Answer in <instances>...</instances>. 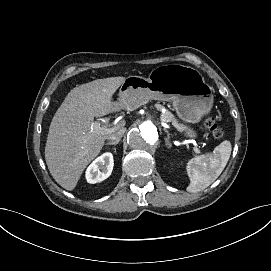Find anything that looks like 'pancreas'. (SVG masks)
I'll list each match as a JSON object with an SVG mask.
<instances>
[{"label":"pancreas","mask_w":271,"mask_h":271,"mask_svg":"<svg viewBox=\"0 0 271 271\" xmlns=\"http://www.w3.org/2000/svg\"><path fill=\"white\" fill-rule=\"evenodd\" d=\"M161 119L167 123L171 122L172 121V115L171 113H169L168 111H166L165 113H163L161 115Z\"/></svg>","instance_id":"obj_1"}]
</instances>
